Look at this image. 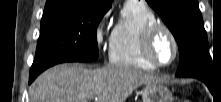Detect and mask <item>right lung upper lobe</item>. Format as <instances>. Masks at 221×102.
I'll return each instance as SVG.
<instances>
[{"label": "right lung upper lobe", "mask_w": 221, "mask_h": 102, "mask_svg": "<svg viewBox=\"0 0 221 102\" xmlns=\"http://www.w3.org/2000/svg\"><path fill=\"white\" fill-rule=\"evenodd\" d=\"M113 0H46L44 11L84 5L93 8H109Z\"/></svg>", "instance_id": "right-lung-upper-lobe-1"}]
</instances>
